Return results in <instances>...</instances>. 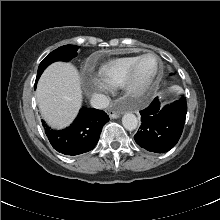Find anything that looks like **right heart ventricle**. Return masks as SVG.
<instances>
[{
  "mask_svg": "<svg viewBox=\"0 0 220 220\" xmlns=\"http://www.w3.org/2000/svg\"><path fill=\"white\" fill-rule=\"evenodd\" d=\"M139 56H126L110 60L97 69L98 77L111 87H123L127 75Z\"/></svg>",
  "mask_w": 220,
  "mask_h": 220,
  "instance_id": "obj_1",
  "label": "right heart ventricle"
}]
</instances>
